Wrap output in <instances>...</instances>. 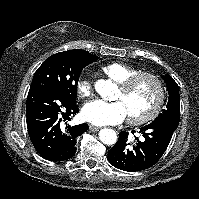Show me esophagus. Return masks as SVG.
I'll use <instances>...</instances> for the list:
<instances>
[{
    "label": "esophagus",
    "instance_id": "obj_1",
    "mask_svg": "<svg viewBox=\"0 0 199 199\" xmlns=\"http://www.w3.org/2000/svg\"><path fill=\"white\" fill-rule=\"evenodd\" d=\"M99 127H96V126H93V125H90L89 126V130L91 131V132H97V131H99Z\"/></svg>",
    "mask_w": 199,
    "mask_h": 199
}]
</instances>
